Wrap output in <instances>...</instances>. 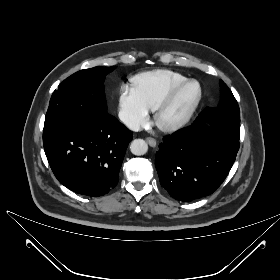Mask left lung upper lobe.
I'll use <instances>...</instances> for the list:
<instances>
[{
    "instance_id": "1",
    "label": "left lung upper lobe",
    "mask_w": 280,
    "mask_h": 280,
    "mask_svg": "<svg viewBox=\"0 0 280 280\" xmlns=\"http://www.w3.org/2000/svg\"><path fill=\"white\" fill-rule=\"evenodd\" d=\"M221 101L217 107H206L196 119L199 123L206 121L222 128L236 138L240 137V110L238 103L226 84L220 80Z\"/></svg>"
}]
</instances>
